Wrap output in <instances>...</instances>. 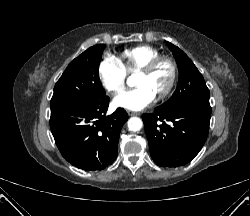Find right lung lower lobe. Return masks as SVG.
I'll use <instances>...</instances> for the list:
<instances>
[{
    "label": "right lung lower lobe",
    "mask_w": 250,
    "mask_h": 216,
    "mask_svg": "<svg viewBox=\"0 0 250 216\" xmlns=\"http://www.w3.org/2000/svg\"><path fill=\"white\" fill-rule=\"evenodd\" d=\"M110 98L76 104L51 114L50 127L62 156L85 170H102L117 157L120 131L128 120L118 108L106 116Z\"/></svg>",
    "instance_id": "right-lung-lower-lobe-1"
}]
</instances>
